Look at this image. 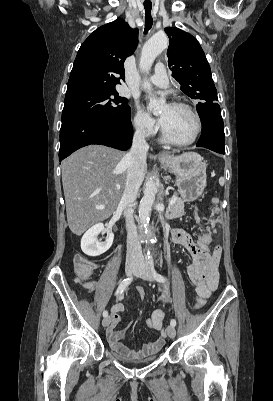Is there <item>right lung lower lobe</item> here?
Instances as JSON below:
<instances>
[{
    "label": "right lung lower lobe",
    "mask_w": 273,
    "mask_h": 401,
    "mask_svg": "<svg viewBox=\"0 0 273 401\" xmlns=\"http://www.w3.org/2000/svg\"><path fill=\"white\" fill-rule=\"evenodd\" d=\"M131 125H119L114 122L80 117L62 122L60 129L59 161L77 149L100 144L119 150H127L132 143Z\"/></svg>",
    "instance_id": "1"
}]
</instances>
